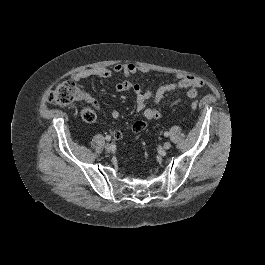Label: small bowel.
Returning a JSON list of instances; mask_svg holds the SVG:
<instances>
[{
	"mask_svg": "<svg viewBox=\"0 0 265 265\" xmlns=\"http://www.w3.org/2000/svg\"><path fill=\"white\" fill-rule=\"evenodd\" d=\"M148 73L149 69L144 66H139L137 64H117L113 69L106 66H99L90 69H84L73 74L72 79L74 81H81L89 77L98 78H110L114 74H122L127 77L126 80L118 82L115 85L117 92L132 91L135 94L136 99V111L142 113L146 120H157L161 117L160 112L155 106L163 103L165 101L166 95L176 89H187V97L195 98L198 95L199 88L202 87L203 81L193 75L179 73L176 75L177 82L172 84H167L160 86L155 93L150 90H144L138 83L129 79L136 73ZM153 98L154 105L148 104V101ZM84 99L91 102L92 99L89 95L84 93ZM179 102V100H174L169 103L170 106H174ZM120 113L117 110L111 112V117L114 119L119 118ZM145 121H137L133 124L132 130L134 132H139L146 127ZM113 135L116 139L122 138V133L120 131H114Z\"/></svg>",
	"mask_w": 265,
	"mask_h": 265,
	"instance_id": "small-bowel-1",
	"label": "small bowel"
}]
</instances>
